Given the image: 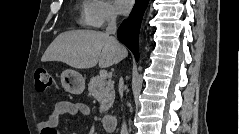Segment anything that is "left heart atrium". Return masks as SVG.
I'll return each mask as SVG.
<instances>
[{
	"instance_id": "obj_1",
	"label": "left heart atrium",
	"mask_w": 239,
	"mask_h": 134,
	"mask_svg": "<svg viewBox=\"0 0 239 134\" xmlns=\"http://www.w3.org/2000/svg\"><path fill=\"white\" fill-rule=\"evenodd\" d=\"M116 9L121 14L128 13L133 5L131 0H116L115 2Z\"/></svg>"
}]
</instances>
